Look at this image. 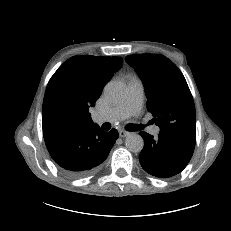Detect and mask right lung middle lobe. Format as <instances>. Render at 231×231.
<instances>
[{"mask_svg":"<svg viewBox=\"0 0 231 231\" xmlns=\"http://www.w3.org/2000/svg\"><path fill=\"white\" fill-rule=\"evenodd\" d=\"M75 114V107L60 88L46 93L42 108L43 135L67 132Z\"/></svg>","mask_w":231,"mask_h":231,"instance_id":"1","label":"right lung middle lobe"}]
</instances>
